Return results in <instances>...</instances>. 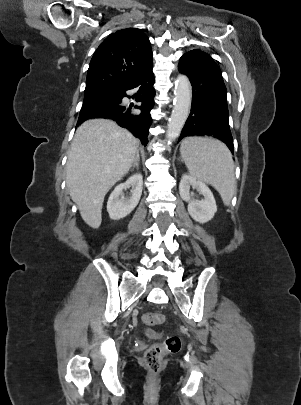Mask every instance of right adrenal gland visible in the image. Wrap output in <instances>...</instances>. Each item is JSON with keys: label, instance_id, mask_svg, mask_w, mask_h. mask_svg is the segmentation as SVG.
Wrapping results in <instances>:
<instances>
[{"label": "right adrenal gland", "instance_id": "2a0ac1e0", "mask_svg": "<svg viewBox=\"0 0 301 405\" xmlns=\"http://www.w3.org/2000/svg\"><path fill=\"white\" fill-rule=\"evenodd\" d=\"M139 160H140V155H139V151L136 152V156L134 159V162L131 166V170H134V168L136 167L137 169L139 168Z\"/></svg>", "mask_w": 301, "mask_h": 405}]
</instances>
